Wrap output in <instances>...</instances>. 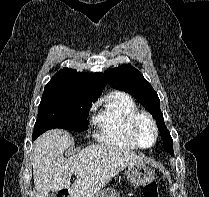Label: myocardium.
<instances>
[{
    "instance_id": "f54148a6",
    "label": "myocardium",
    "mask_w": 209,
    "mask_h": 197,
    "mask_svg": "<svg viewBox=\"0 0 209 197\" xmlns=\"http://www.w3.org/2000/svg\"><path fill=\"white\" fill-rule=\"evenodd\" d=\"M142 119H146L152 126L153 130H154V141L150 146H144L141 144L140 140H139V135H138V126L139 123ZM130 134H131V138L133 139L134 143L137 145V147L141 148V149H150L152 147H154L158 141V137H159V131H158V127L156 124L155 119L152 117V115H150L147 112L144 111H138L137 113H135L131 119V123H130Z\"/></svg>"
}]
</instances>
